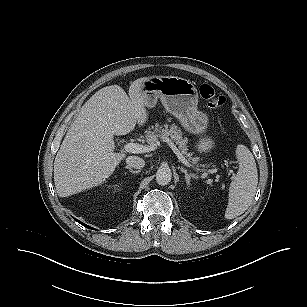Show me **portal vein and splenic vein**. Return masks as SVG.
Instances as JSON below:
<instances>
[{
  "instance_id": "portal-vein-and-splenic-vein-1",
  "label": "portal vein and splenic vein",
  "mask_w": 307,
  "mask_h": 307,
  "mask_svg": "<svg viewBox=\"0 0 307 307\" xmlns=\"http://www.w3.org/2000/svg\"><path fill=\"white\" fill-rule=\"evenodd\" d=\"M163 142H166L168 146L173 150V152L176 154L178 159L187 167L192 168L196 171L203 172L204 174H212L214 173L213 170H204L199 167H195L193 164H191L187 159L182 155V153L178 150V148L175 146V144L168 138L163 137ZM160 145V142L157 140L155 143L150 144V146L141 145L138 143H127L124 145V150L129 153L139 154V153H148L151 151H154L158 146Z\"/></svg>"
}]
</instances>
